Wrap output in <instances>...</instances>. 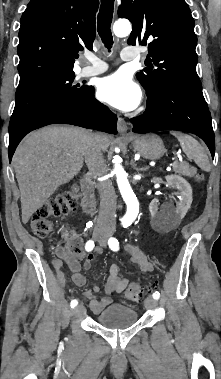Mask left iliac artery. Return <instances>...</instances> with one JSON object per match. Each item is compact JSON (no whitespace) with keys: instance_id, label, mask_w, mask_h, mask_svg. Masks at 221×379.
I'll list each match as a JSON object with an SVG mask.
<instances>
[{"instance_id":"44dca946","label":"left iliac artery","mask_w":221,"mask_h":379,"mask_svg":"<svg viewBox=\"0 0 221 379\" xmlns=\"http://www.w3.org/2000/svg\"><path fill=\"white\" fill-rule=\"evenodd\" d=\"M108 245H109V248L113 251H118L119 250V242L116 238L114 237H111L109 240H108ZM152 297L154 299H159L160 297V293L159 292H154Z\"/></svg>"}]
</instances>
